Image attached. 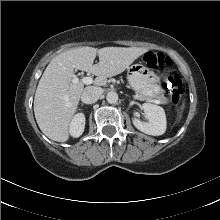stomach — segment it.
Listing matches in <instances>:
<instances>
[{
    "mask_svg": "<svg viewBox=\"0 0 220 220\" xmlns=\"http://www.w3.org/2000/svg\"><path fill=\"white\" fill-rule=\"evenodd\" d=\"M127 78L131 88L143 97L157 98L163 93L160 77L142 64L128 67Z\"/></svg>",
    "mask_w": 220,
    "mask_h": 220,
    "instance_id": "1",
    "label": "stomach"
}]
</instances>
